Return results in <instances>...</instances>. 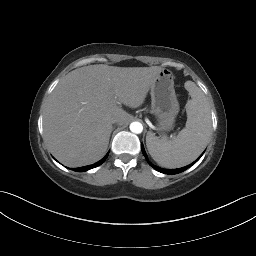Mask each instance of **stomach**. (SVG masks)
I'll return each mask as SVG.
<instances>
[{
  "mask_svg": "<svg viewBox=\"0 0 256 256\" xmlns=\"http://www.w3.org/2000/svg\"><path fill=\"white\" fill-rule=\"evenodd\" d=\"M151 109L161 131L172 129L179 112V102L174 89V76L163 69L151 87Z\"/></svg>",
  "mask_w": 256,
  "mask_h": 256,
  "instance_id": "1",
  "label": "stomach"
}]
</instances>
